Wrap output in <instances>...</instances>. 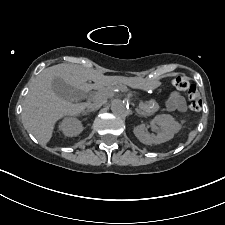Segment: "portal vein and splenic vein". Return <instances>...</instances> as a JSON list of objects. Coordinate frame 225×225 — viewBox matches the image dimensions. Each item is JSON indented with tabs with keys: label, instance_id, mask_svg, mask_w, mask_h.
<instances>
[{
	"label": "portal vein and splenic vein",
	"instance_id": "1",
	"mask_svg": "<svg viewBox=\"0 0 225 225\" xmlns=\"http://www.w3.org/2000/svg\"><path fill=\"white\" fill-rule=\"evenodd\" d=\"M139 107H140V108H142V107H143V106H142V103H141V104H139Z\"/></svg>",
	"mask_w": 225,
	"mask_h": 225
}]
</instances>
